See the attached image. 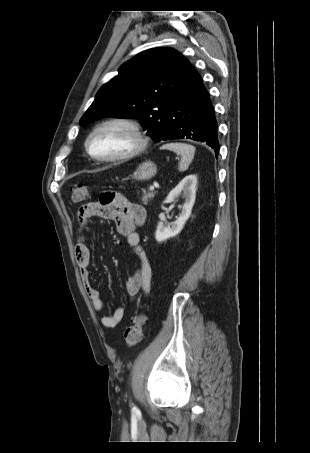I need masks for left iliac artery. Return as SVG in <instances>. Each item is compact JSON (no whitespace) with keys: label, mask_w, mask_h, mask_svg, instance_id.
<instances>
[{"label":"left iliac artery","mask_w":310,"mask_h":453,"mask_svg":"<svg viewBox=\"0 0 310 453\" xmlns=\"http://www.w3.org/2000/svg\"><path fill=\"white\" fill-rule=\"evenodd\" d=\"M136 410H137V408H136V407H133V411H136Z\"/></svg>","instance_id":"left-iliac-artery-1"}]
</instances>
